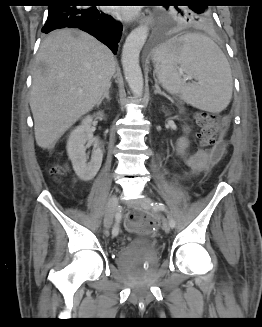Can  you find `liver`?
Here are the masks:
<instances>
[{
    "mask_svg": "<svg viewBox=\"0 0 262 327\" xmlns=\"http://www.w3.org/2000/svg\"><path fill=\"white\" fill-rule=\"evenodd\" d=\"M116 71L113 53L91 35L52 32L41 43L30 97L36 143L50 149L98 104Z\"/></svg>",
    "mask_w": 262,
    "mask_h": 327,
    "instance_id": "6515ba94",
    "label": "liver"
}]
</instances>
